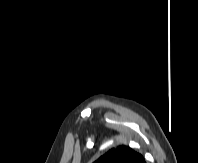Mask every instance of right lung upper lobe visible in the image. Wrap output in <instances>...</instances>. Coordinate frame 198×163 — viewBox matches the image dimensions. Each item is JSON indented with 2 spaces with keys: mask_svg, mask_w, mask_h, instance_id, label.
<instances>
[{
  "mask_svg": "<svg viewBox=\"0 0 198 163\" xmlns=\"http://www.w3.org/2000/svg\"><path fill=\"white\" fill-rule=\"evenodd\" d=\"M94 163H146V161L140 153L121 145L109 150Z\"/></svg>",
  "mask_w": 198,
  "mask_h": 163,
  "instance_id": "obj_1",
  "label": "right lung upper lobe"
}]
</instances>
